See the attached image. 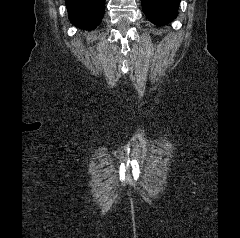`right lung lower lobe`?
Instances as JSON below:
<instances>
[{"label": "right lung lower lobe", "instance_id": "98d812e1", "mask_svg": "<svg viewBox=\"0 0 240 238\" xmlns=\"http://www.w3.org/2000/svg\"><path fill=\"white\" fill-rule=\"evenodd\" d=\"M70 21L77 27L92 30L104 16L105 0H65Z\"/></svg>", "mask_w": 240, "mask_h": 238}]
</instances>
